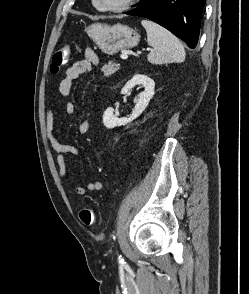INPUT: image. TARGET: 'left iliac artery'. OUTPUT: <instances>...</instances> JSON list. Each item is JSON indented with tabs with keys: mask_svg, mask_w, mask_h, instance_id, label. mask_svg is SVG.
Returning a JSON list of instances; mask_svg holds the SVG:
<instances>
[{
	"mask_svg": "<svg viewBox=\"0 0 249 294\" xmlns=\"http://www.w3.org/2000/svg\"><path fill=\"white\" fill-rule=\"evenodd\" d=\"M118 260H119V263H123V259L121 258V256H118Z\"/></svg>",
	"mask_w": 249,
	"mask_h": 294,
	"instance_id": "1",
	"label": "left iliac artery"
}]
</instances>
